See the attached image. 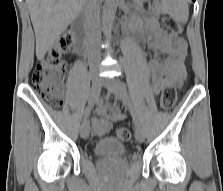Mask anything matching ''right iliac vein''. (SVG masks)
Listing matches in <instances>:
<instances>
[{
  "label": "right iliac vein",
  "instance_id": "obj_1",
  "mask_svg": "<svg viewBox=\"0 0 223 191\" xmlns=\"http://www.w3.org/2000/svg\"><path fill=\"white\" fill-rule=\"evenodd\" d=\"M102 86H103V83L100 80L93 79L92 86H91L90 93H89V103L96 102V100L98 99L99 94L101 92ZM89 131H90L89 122L87 119H84L80 126V136L83 139L88 138Z\"/></svg>",
  "mask_w": 223,
  "mask_h": 191
}]
</instances>
